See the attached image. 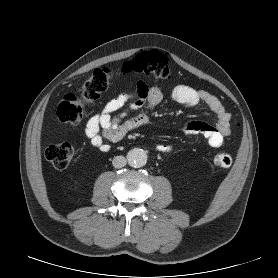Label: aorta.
<instances>
[{"label": "aorta", "instance_id": "762f6f07", "mask_svg": "<svg viewBox=\"0 0 278 278\" xmlns=\"http://www.w3.org/2000/svg\"><path fill=\"white\" fill-rule=\"evenodd\" d=\"M127 160L131 167L140 168L147 163V154L143 149L134 148L128 152Z\"/></svg>", "mask_w": 278, "mask_h": 278}]
</instances>
